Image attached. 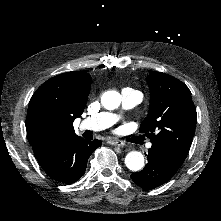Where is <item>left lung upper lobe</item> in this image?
<instances>
[{
	"label": "left lung upper lobe",
	"mask_w": 221,
	"mask_h": 221,
	"mask_svg": "<svg viewBox=\"0 0 221 221\" xmlns=\"http://www.w3.org/2000/svg\"><path fill=\"white\" fill-rule=\"evenodd\" d=\"M150 108L140 125L152 144L168 149L184 162L196 127V108L189 88L173 76L151 71L147 76Z\"/></svg>",
	"instance_id": "left-lung-upper-lobe-1"
}]
</instances>
